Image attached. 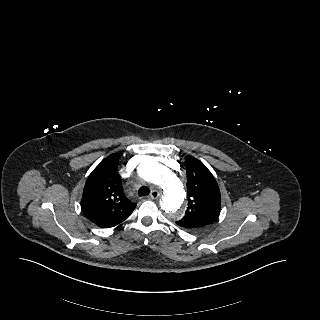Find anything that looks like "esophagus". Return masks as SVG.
I'll return each mask as SVG.
<instances>
[{
	"label": "esophagus",
	"mask_w": 320,
	"mask_h": 320,
	"mask_svg": "<svg viewBox=\"0 0 320 320\" xmlns=\"http://www.w3.org/2000/svg\"><path fill=\"white\" fill-rule=\"evenodd\" d=\"M160 193L157 190H152L149 195V199H157Z\"/></svg>",
	"instance_id": "esophagus-1"
}]
</instances>
